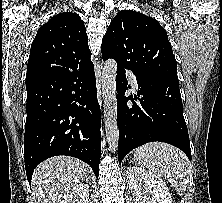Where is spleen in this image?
I'll use <instances>...</instances> for the list:
<instances>
[{
	"label": "spleen",
	"instance_id": "obj_1",
	"mask_svg": "<svg viewBox=\"0 0 222 203\" xmlns=\"http://www.w3.org/2000/svg\"><path fill=\"white\" fill-rule=\"evenodd\" d=\"M134 161L167 179L179 195L185 192L191 174L190 162L178 148L164 142L147 143L135 150Z\"/></svg>",
	"mask_w": 222,
	"mask_h": 203
}]
</instances>
